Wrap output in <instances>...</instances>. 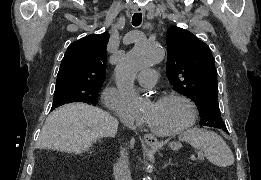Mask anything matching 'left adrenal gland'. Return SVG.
Listing matches in <instances>:
<instances>
[{
	"label": "left adrenal gland",
	"instance_id": "a2214340",
	"mask_svg": "<svg viewBox=\"0 0 261 180\" xmlns=\"http://www.w3.org/2000/svg\"><path fill=\"white\" fill-rule=\"evenodd\" d=\"M166 166H173L171 158L168 160L167 164H165L164 168H166Z\"/></svg>",
	"mask_w": 261,
	"mask_h": 180
}]
</instances>
